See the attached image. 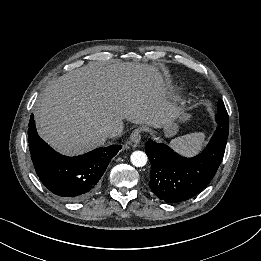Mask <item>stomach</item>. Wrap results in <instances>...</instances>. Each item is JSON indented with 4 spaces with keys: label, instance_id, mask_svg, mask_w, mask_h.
<instances>
[{
    "label": "stomach",
    "instance_id": "stomach-1",
    "mask_svg": "<svg viewBox=\"0 0 261 261\" xmlns=\"http://www.w3.org/2000/svg\"><path fill=\"white\" fill-rule=\"evenodd\" d=\"M190 118V115L181 111L178 116L163 125V132L166 137L175 135L179 130V123H184Z\"/></svg>",
    "mask_w": 261,
    "mask_h": 261
}]
</instances>
